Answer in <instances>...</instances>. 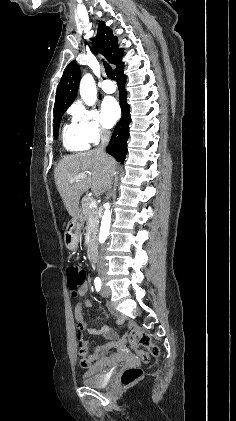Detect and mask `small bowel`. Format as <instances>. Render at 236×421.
I'll return each mask as SVG.
<instances>
[{
    "label": "small bowel",
    "mask_w": 236,
    "mask_h": 421,
    "mask_svg": "<svg viewBox=\"0 0 236 421\" xmlns=\"http://www.w3.org/2000/svg\"><path fill=\"white\" fill-rule=\"evenodd\" d=\"M86 292H87V286L85 285L82 288V290L80 291V295H84ZM82 306L91 307L92 306V303L89 300H86V301H83L82 303H80V304H78L76 306V308H75V317H76V320H77L78 325L80 327L84 326L83 316H82V312H81ZM81 356L82 357H81V360H80V365L83 368H88L90 366V364H91V356L90 357H86V354H85V351L84 350L81 352ZM116 361H115V363H116Z\"/></svg>",
    "instance_id": "obj_1"
}]
</instances>
